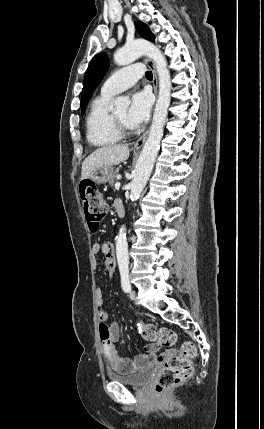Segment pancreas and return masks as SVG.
<instances>
[{
	"label": "pancreas",
	"mask_w": 264,
	"mask_h": 429,
	"mask_svg": "<svg viewBox=\"0 0 264 429\" xmlns=\"http://www.w3.org/2000/svg\"><path fill=\"white\" fill-rule=\"evenodd\" d=\"M117 174H118V170H116L115 172H114V174L112 175V177L110 178V180H109V184L111 185V186H113V184L115 183V181L117 180Z\"/></svg>",
	"instance_id": "pancreas-1"
}]
</instances>
